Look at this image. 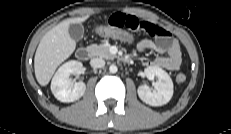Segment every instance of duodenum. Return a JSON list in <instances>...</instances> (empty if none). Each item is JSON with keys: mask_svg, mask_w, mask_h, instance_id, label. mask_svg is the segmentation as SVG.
<instances>
[{"mask_svg": "<svg viewBox=\"0 0 231 134\" xmlns=\"http://www.w3.org/2000/svg\"><path fill=\"white\" fill-rule=\"evenodd\" d=\"M76 57L80 61H86L90 57V50L88 48H79L76 51Z\"/></svg>", "mask_w": 231, "mask_h": 134, "instance_id": "410a0bca", "label": "duodenum"}]
</instances>
